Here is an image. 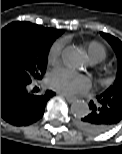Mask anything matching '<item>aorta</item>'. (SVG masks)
Here are the masks:
<instances>
[{
	"label": "aorta",
	"mask_w": 122,
	"mask_h": 154,
	"mask_svg": "<svg viewBox=\"0 0 122 154\" xmlns=\"http://www.w3.org/2000/svg\"><path fill=\"white\" fill-rule=\"evenodd\" d=\"M62 60L69 68H77L83 62L82 52L75 47H68L62 52ZM89 106L86 102L77 100L71 105V113L76 117H83L89 113Z\"/></svg>",
	"instance_id": "obj_1"
}]
</instances>
